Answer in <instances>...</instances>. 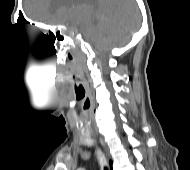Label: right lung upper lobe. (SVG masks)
<instances>
[{"label":"right lung upper lobe","mask_w":190,"mask_h":170,"mask_svg":"<svg viewBox=\"0 0 190 170\" xmlns=\"http://www.w3.org/2000/svg\"><path fill=\"white\" fill-rule=\"evenodd\" d=\"M109 163H110V169L112 170V161H110Z\"/></svg>","instance_id":"cb5924a9"}]
</instances>
